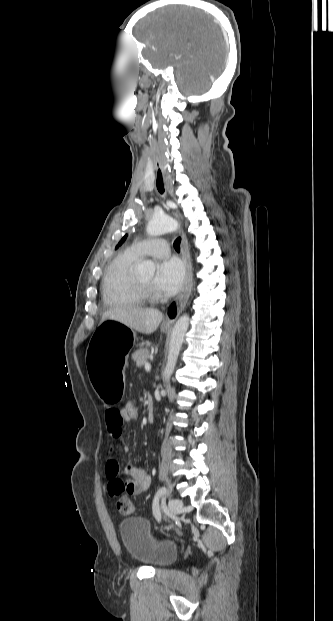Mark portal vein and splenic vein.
I'll list each match as a JSON object with an SVG mask.
<instances>
[{
  "instance_id": "18ae733b",
  "label": "portal vein and splenic vein",
  "mask_w": 333,
  "mask_h": 621,
  "mask_svg": "<svg viewBox=\"0 0 333 621\" xmlns=\"http://www.w3.org/2000/svg\"><path fill=\"white\" fill-rule=\"evenodd\" d=\"M144 368H145V371H147V372H148V371H150V370H151V365H150L149 363H146V364H145V366H144Z\"/></svg>"
}]
</instances>
